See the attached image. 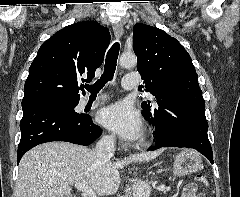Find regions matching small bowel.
Wrapping results in <instances>:
<instances>
[{"instance_id":"c3829d8e","label":"small bowel","mask_w":240,"mask_h":197,"mask_svg":"<svg viewBox=\"0 0 240 197\" xmlns=\"http://www.w3.org/2000/svg\"><path fill=\"white\" fill-rule=\"evenodd\" d=\"M182 197H205V195L198 193L197 186L194 183H190L185 187Z\"/></svg>"}]
</instances>
